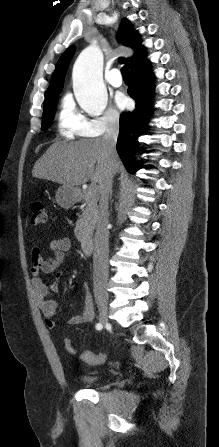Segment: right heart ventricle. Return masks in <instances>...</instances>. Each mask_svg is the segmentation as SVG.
<instances>
[{"label":"right heart ventricle","mask_w":219,"mask_h":447,"mask_svg":"<svg viewBox=\"0 0 219 447\" xmlns=\"http://www.w3.org/2000/svg\"><path fill=\"white\" fill-rule=\"evenodd\" d=\"M88 120L76 109L70 96H65L57 116V127L61 137L66 140L93 136L88 127Z\"/></svg>","instance_id":"e07e8e85"}]
</instances>
